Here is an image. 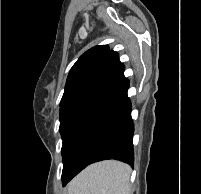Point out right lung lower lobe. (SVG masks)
Segmentation results:
<instances>
[{
    "mask_svg": "<svg viewBox=\"0 0 201 194\" xmlns=\"http://www.w3.org/2000/svg\"><path fill=\"white\" fill-rule=\"evenodd\" d=\"M128 88L129 80H122L91 100L71 122L63 136V186L97 161L116 159L133 165L134 126Z\"/></svg>",
    "mask_w": 201,
    "mask_h": 194,
    "instance_id": "obj_1",
    "label": "right lung lower lobe"
}]
</instances>
